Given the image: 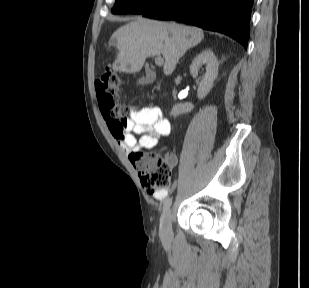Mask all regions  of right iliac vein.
I'll use <instances>...</instances> for the list:
<instances>
[{"mask_svg": "<svg viewBox=\"0 0 309 288\" xmlns=\"http://www.w3.org/2000/svg\"><path fill=\"white\" fill-rule=\"evenodd\" d=\"M171 222L172 212L171 209H167L161 216L160 221V235L164 240H170L172 237Z\"/></svg>", "mask_w": 309, "mask_h": 288, "instance_id": "right-iliac-vein-1", "label": "right iliac vein"}]
</instances>
